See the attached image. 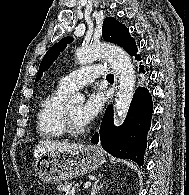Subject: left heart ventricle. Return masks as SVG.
Wrapping results in <instances>:
<instances>
[{
  "instance_id": "left-heart-ventricle-1",
  "label": "left heart ventricle",
  "mask_w": 189,
  "mask_h": 195,
  "mask_svg": "<svg viewBox=\"0 0 189 195\" xmlns=\"http://www.w3.org/2000/svg\"><path fill=\"white\" fill-rule=\"evenodd\" d=\"M81 107H82V105L79 103L71 104V105L67 106V109H68V112L71 116V120H72L73 125L79 129L86 127V125H84L82 123V121L80 120V117H79Z\"/></svg>"
}]
</instances>
